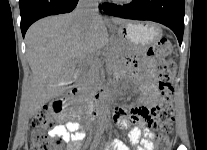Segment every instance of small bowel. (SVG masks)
<instances>
[{
  "label": "small bowel",
  "mask_w": 207,
  "mask_h": 150,
  "mask_svg": "<svg viewBox=\"0 0 207 150\" xmlns=\"http://www.w3.org/2000/svg\"><path fill=\"white\" fill-rule=\"evenodd\" d=\"M156 63L151 58L143 59L138 68L131 71V76L140 83L142 106L131 108L127 114L126 109L115 107L114 121L120 129L130 128L128 137L135 150H153L150 140V132L142 130L150 111V107L158 101V93L155 89L154 73ZM143 134V137H142ZM50 135L61 139L67 145V150H80L85 132L75 121L56 125ZM102 150H131V145H125V140H105Z\"/></svg>",
  "instance_id": "c3829d8e"
}]
</instances>
